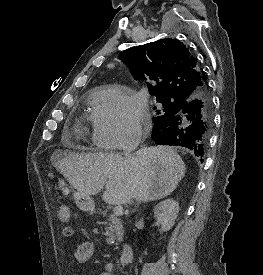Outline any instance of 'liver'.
Returning a JSON list of instances; mask_svg holds the SVG:
<instances>
[{
	"label": "liver",
	"instance_id": "1",
	"mask_svg": "<svg viewBox=\"0 0 263 275\" xmlns=\"http://www.w3.org/2000/svg\"><path fill=\"white\" fill-rule=\"evenodd\" d=\"M55 168L84 195H96L111 205L148 202L171 194L185 176L182 158L170 147L139 149L130 161L119 154H53Z\"/></svg>",
	"mask_w": 263,
	"mask_h": 275
}]
</instances>
